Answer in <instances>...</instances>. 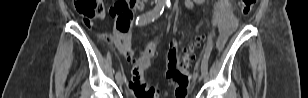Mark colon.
<instances>
[{
	"label": "colon",
	"instance_id": "1",
	"mask_svg": "<svg viewBox=\"0 0 308 98\" xmlns=\"http://www.w3.org/2000/svg\"><path fill=\"white\" fill-rule=\"evenodd\" d=\"M134 3L135 0L118 1L110 11L111 15L116 18V32L113 36V41L118 50L128 59H130L131 56L128 31H134L138 28L134 24H130L133 17L132 10ZM255 3L256 0H241V13L243 15L249 14ZM74 7L78 15L83 19V22L88 27L91 26L93 19L101 17L104 12L101 0H74ZM100 37L103 40H110L108 35H100ZM201 40L202 36L196 35L193 38L192 44L198 45ZM156 44L157 39L151 40L139 59L135 61L133 67V81L131 82V87L133 88L135 95L139 98L157 97L155 90L143 78V73L154 55ZM193 58L194 56L189 50L179 52L175 46H173L168 53V77L172 82V87L177 98H183L186 94L188 82L187 70Z\"/></svg>",
	"mask_w": 308,
	"mask_h": 98
}]
</instances>
